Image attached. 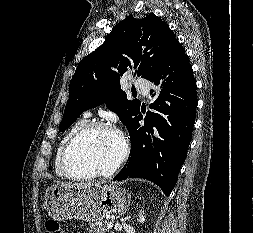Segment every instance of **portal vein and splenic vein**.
Here are the masks:
<instances>
[{
	"label": "portal vein and splenic vein",
	"instance_id": "18ae733b",
	"mask_svg": "<svg viewBox=\"0 0 253 233\" xmlns=\"http://www.w3.org/2000/svg\"><path fill=\"white\" fill-rule=\"evenodd\" d=\"M107 227H108V228H112V227H113V223H111V222L108 223V224H107Z\"/></svg>",
	"mask_w": 253,
	"mask_h": 233
}]
</instances>
